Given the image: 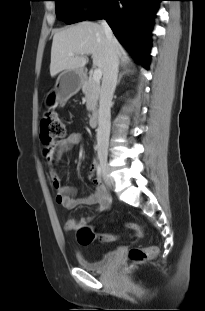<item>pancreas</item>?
I'll use <instances>...</instances> for the list:
<instances>
[{"instance_id": "pancreas-1", "label": "pancreas", "mask_w": 205, "mask_h": 311, "mask_svg": "<svg viewBox=\"0 0 205 311\" xmlns=\"http://www.w3.org/2000/svg\"><path fill=\"white\" fill-rule=\"evenodd\" d=\"M82 92L86 99V108L90 112H95L100 94V83L93 81L91 77L82 81Z\"/></svg>"}]
</instances>
